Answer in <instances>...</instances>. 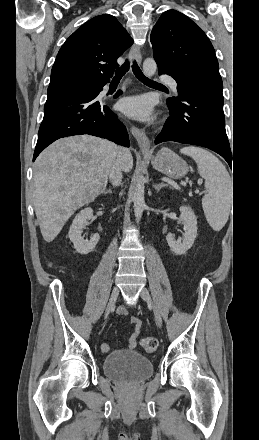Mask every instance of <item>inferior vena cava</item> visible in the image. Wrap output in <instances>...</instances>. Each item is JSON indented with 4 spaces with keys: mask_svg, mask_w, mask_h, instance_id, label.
<instances>
[{
    "mask_svg": "<svg viewBox=\"0 0 259 440\" xmlns=\"http://www.w3.org/2000/svg\"><path fill=\"white\" fill-rule=\"evenodd\" d=\"M123 148L118 147L117 149V158L115 162L112 165L111 171H110V180L113 184V186H119L122 182V163L120 161V156L122 154Z\"/></svg>",
    "mask_w": 259,
    "mask_h": 440,
    "instance_id": "602c4592",
    "label": "inferior vena cava"
}]
</instances>
